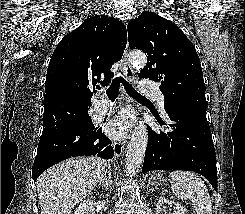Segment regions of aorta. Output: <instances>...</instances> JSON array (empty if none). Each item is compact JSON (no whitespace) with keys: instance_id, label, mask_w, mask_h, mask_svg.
<instances>
[{"instance_id":"obj_1","label":"aorta","mask_w":245,"mask_h":214,"mask_svg":"<svg viewBox=\"0 0 245 214\" xmlns=\"http://www.w3.org/2000/svg\"><path fill=\"white\" fill-rule=\"evenodd\" d=\"M130 63L137 68H143L147 63V57L143 52L133 51L129 55ZM148 143V132L143 121L135 127L127 146L125 158L126 175L132 178L140 169Z\"/></svg>"}]
</instances>
